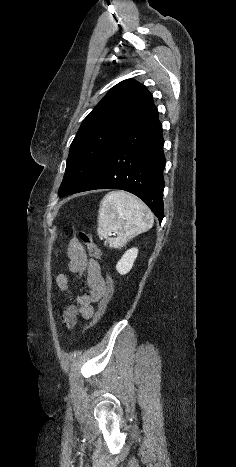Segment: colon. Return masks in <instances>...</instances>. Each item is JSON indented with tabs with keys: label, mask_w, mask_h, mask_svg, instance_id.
<instances>
[{
	"label": "colon",
	"mask_w": 236,
	"mask_h": 467,
	"mask_svg": "<svg viewBox=\"0 0 236 467\" xmlns=\"http://www.w3.org/2000/svg\"><path fill=\"white\" fill-rule=\"evenodd\" d=\"M78 238L79 240L87 247L90 255L96 259H100L101 258V252L99 250V248L96 246V244L93 242L92 240V237L91 235L88 233V232H85V231H79L78 232ZM106 283H107V292L105 294V296L102 298L100 304H99V307H98V310L93 318V320L84 327V331H87L91 328H93L98 322L99 320L101 319V317L103 316L105 310H106V306H107V303L109 302V299L111 297V294H112V289H113V281H112V278L110 276L107 277V280H106Z\"/></svg>",
	"instance_id": "1"
}]
</instances>
